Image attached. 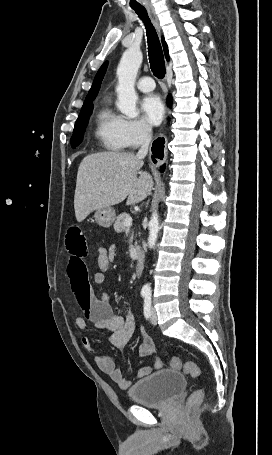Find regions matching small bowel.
Returning <instances> with one entry per match:
<instances>
[{
	"label": "small bowel",
	"mask_w": 272,
	"mask_h": 455,
	"mask_svg": "<svg viewBox=\"0 0 272 455\" xmlns=\"http://www.w3.org/2000/svg\"><path fill=\"white\" fill-rule=\"evenodd\" d=\"M66 247L70 254L68 262V275L72 292L76 302L80 307L82 314L77 315L74 319L76 326L87 331V322H92L97 329L107 330L110 332V342L117 348L122 349L131 339L135 322L129 309L123 314L114 313L110 303L109 294L104 293L101 298H96L91 290L89 282L88 269L84 258L86 256L85 237L79 227L76 225L69 228L66 236ZM108 254L111 262L115 259L116 249L114 246L109 247ZM142 343L138 347V354L141 357H148L155 351L154 341L151 336L141 330ZM84 347L93 354L94 361L101 371L108 374L111 379L122 389L131 386L132 381L125 378L122 371L116 367L114 361L109 356L95 352L91 347L88 338L83 337ZM154 369H160L162 362L156 359L153 364ZM151 372L149 366L141 367L137 372V377H143Z\"/></svg>",
	"instance_id": "small-bowel-1"
}]
</instances>
